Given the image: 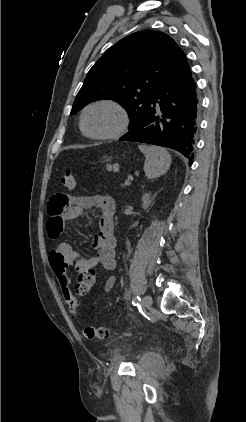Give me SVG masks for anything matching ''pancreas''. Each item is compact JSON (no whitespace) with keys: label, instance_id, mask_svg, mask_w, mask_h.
<instances>
[{"label":"pancreas","instance_id":"obj_1","mask_svg":"<svg viewBox=\"0 0 246 422\" xmlns=\"http://www.w3.org/2000/svg\"><path fill=\"white\" fill-rule=\"evenodd\" d=\"M128 179H129V178H128ZM127 181H128V180H126V182H127ZM126 182H125V185H124V186H128V185H130V183H128V184H127Z\"/></svg>","mask_w":246,"mask_h":422}]
</instances>
